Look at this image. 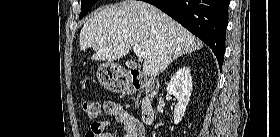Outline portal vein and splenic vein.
Segmentation results:
<instances>
[{"label": "portal vein and splenic vein", "mask_w": 280, "mask_h": 137, "mask_svg": "<svg viewBox=\"0 0 280 137\" xmlns=\"http://www.w3.org/2000/svg\"><path fill=\"white\" fill-rule=\"evenodd\" d=\"M133 51L139 59L147 57V54L142 51L141 47L138 44H134Z\"/></svg>", "instance_id": "1"}]
</instances>
